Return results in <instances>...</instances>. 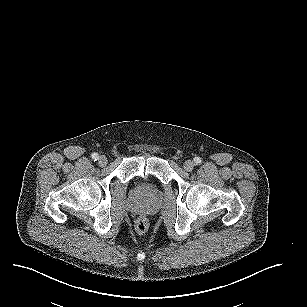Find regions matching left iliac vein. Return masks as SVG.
<instances>
[{
    "label": "left iliac vein",
    "mask_w": 307,
    "mask_h": 307,
    "mask_svg": "<svg viewBox=\"0 0 307 307\" xmlns=\"http://www.w3.org/2000/svg\"><path fill=\"white\" fill-rule=\"evenodd\" d=\"M183 166L186 171L190 172L194 168V162L191 160H186Z\"/></svg>",
    "instance_id": "4c4485c4"
}]
</instances>
